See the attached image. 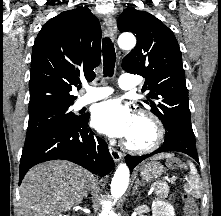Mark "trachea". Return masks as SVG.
Segmentation results:
<instances>
[{
    "label": "trachea",
    "mask_w": 221,
    "mask_h": 216,
    "mask_svg": "<svg viewBox=\"0 0 221 216\" xmlns=\"http://www.w3.org/2000/svg\"><path fill=\"white\" fill-rule=\"evenodd\" d=\"M102 48H103L104 76L112 77L114 74L116 53L114 45L109 37L103 39Z\"/></svg>",
    "instance_id": "1"
}]
</instances>
